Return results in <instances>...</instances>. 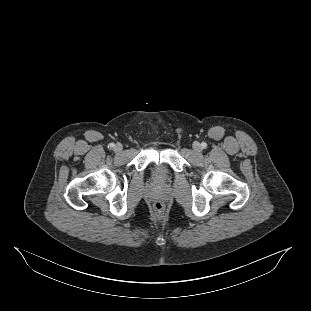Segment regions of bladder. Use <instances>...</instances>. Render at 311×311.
I'll use <instances>...</instances> for the list:
<instances>
[{
    "instance_id": "bladder-1",
    "label": "bladder",
    "mask_w": 311,
    "mask_h": 311,
    "mask_svg": "<svg viewBox=\"0 0 311 311\" xmlns=\"http://www.w3.org/2000/svg\"><path fill=\"white\" fill-rule=\"evenodd\" d=\"M166 169L164 165H157L154 167V175L156 177H163L165 175Z\"/></svg>"
}]
</instances>
